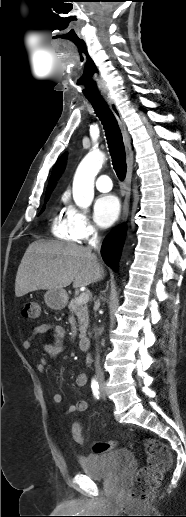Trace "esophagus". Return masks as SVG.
I'll use <instances>...</instances> for the list:
<instances>
[{
	"label": "esophagus",
	"mask_w": 186,
	"mask_h": 517,
	"mask_svg": "<svg viewBox=\"0 0 186 517\" xmlns=\"http://www.w3.org/2000/svg\"><path fill=\"white\" fill-rule=\"evenodd\" d=\"M103 97H104L105 101L108 103L115 118L117 119V122H118L119 127L122 132L125 151H126L127 173H126V178H125V183H124L125 199H124V203H123V211H122V216H121V220H120V224H122L126 221V219L128 217V213H129V200H130V193H131V180H132V171H133V151H132V147H131L130 137L128 135L125 123L123 121V118L121 117V114H120V111H119L117 105L115 104L113 99L110 98L108 95L104 94Z\"/></svg>",
	"instance_id": "esophagus-1"
}]
</instances>
